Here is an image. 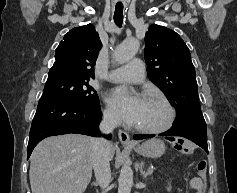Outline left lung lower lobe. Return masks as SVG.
<instances>
[{
	"mask_svg": "<svg viewBox=\"0 0 237 193\" xmlns=\"http://www.w3.org/2000/svg\"><path fill=\"white\" fill-rule=\"evenodd\" d=\"M155 135H134V139L140 140L145 138H151ZM159 136H165L166 139L172 140L168 136H181L187 138L200 147H202L208 153L207 146V129L197 127H172L170 130L159 134Z\"/></svg>",
	"mask_w": 237,
	"mask_h": 193,
	"instance_id": "obj_1",
	"label": "left lung lower lobe"
}]
</instances>
